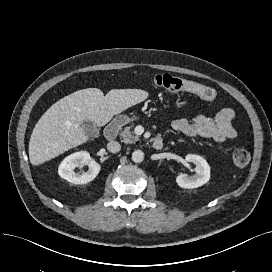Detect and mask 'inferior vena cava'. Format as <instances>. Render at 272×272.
Wrapping results in <instances>:
<instances>
[{
  "mask_svg": "<svg viewBox=\"0 0 272 272\" xmlns=\"http://www.w3.org/2000/svg\"><path fill=\"white\" fill-rule=\"evenodd\" d=\"M107 149L112 153H117L121 150V145L116 141H111L107 144Z\"/></svg>",
  "mask_w": 272,
  "mask_h": 272,
  "instance_id": "obj_1",
  "label": "inferior vena cava"
}]
</instances>
